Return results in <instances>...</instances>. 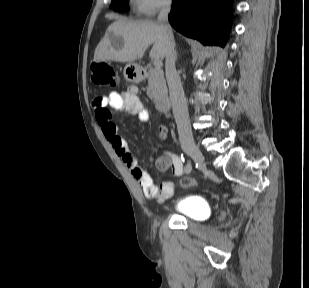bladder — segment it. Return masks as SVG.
Instances as JSON below:
<instances>
[{
  "label": "bladder",
  "mask_w": 309,
  "mask_h": 288,
  "mask_svg": "<svg viewBox=\"0 0 309 288\" xmlns=\"http://www.w3.org/2000/svg\"><path fill=\"white\" fill-rule=\"evenodd\" d=\"M174 211L195 221H203L209 214V203L204 197L188 195L174 205Z\"/></svg>",
  "instance_id": "31cf9c89"
}]
</instances>
